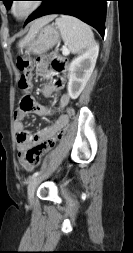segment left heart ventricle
Wrapping results in <instances>:
<instances>
[{
	"label": "left heart ventricle",
	"mask_w": 133,
	"mask_h": 253,
	"mask_svg": "<svg viewBox=\"0 0 133 253\" xmlns=\"http://www.w3.org/2000/svg\"><path fill=\"white\" fill-rule=\"evenodd\" d=\"M30 5V1H18L15 7L16 13L19 15L24 14L29 9Z\"/></svg>",
	"instance_id": "1"
}]
</instances>
